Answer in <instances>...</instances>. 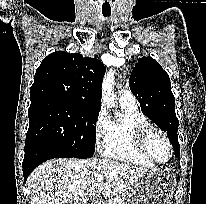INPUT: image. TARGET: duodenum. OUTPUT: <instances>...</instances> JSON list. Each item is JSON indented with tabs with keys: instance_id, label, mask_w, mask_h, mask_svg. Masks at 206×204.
Here are the masks:
<instances>
[{
	"instance_id": "duodenum-1",
	"label": "duodenum",
	"mask_w": 206,
	"mask_h": 204,
	"mask_svg": "<svg viewBox=\"0 0 206 204\" xmlns=\"http://www.w3.org/2000/svg\"><path fill=\"white\" fill-rule=\"evenodd\" d=\"M89 204H100V202L98 200H92Z\"/></svg>"
}]
</instances>
